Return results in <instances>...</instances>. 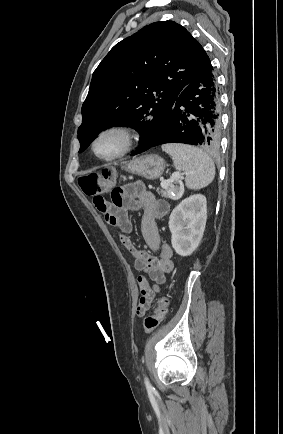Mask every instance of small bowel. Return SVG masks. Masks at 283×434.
I'll use <instances>...</instances> for the list:
<instances>
[{
	"label": "small bowel",
	"mask_w": 283,
	"mask_h": 434,
	"mask_svg": "<svg viewBox=\"0 0 283 434\" xmlns=\"http://www.w3.org/2000/svg\"><path fill=\"white\" fill-rule=\"evenodd\" d=\"M93 203L105 215L107 223L119 230V240L133 258L135 268L146 274L137 278L141 297L136 315L142 317L174 266L171 260L173 250L167 242L161 241L158 226V222L167 215L169 206L164 200L156 199L139 182L113 189L110 201L99 194L93 197ZM129 211H142L141 232L155 255L137 249L130 239L132 223L128 218Z\"/></svg>",
	"instance_id": "c3829d8e"
}]
</instances>
